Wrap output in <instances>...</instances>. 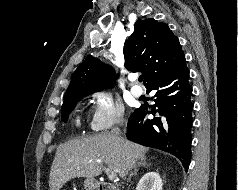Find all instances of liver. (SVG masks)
Instances as JSON below:
<instances>
[{
  "mask_svg": "<svg viewBox=\"0 0 238 190\" xmlns=\"http://www.w3.org/2000/svg\"><path fill=\"white\" fill-rule=\"evenodd\" d=\"M146 147L117 138L113 133H101L92 137L72 139L60 146L52 163L49 187L60 190L73 178H91L102 173L103 164L124 178L145 158Z\"/></svg>",
  "mask_w": 238,
  "mask_h": 190,
  "instance_id": "liver-1",
  "label": "liver"
}]
</instances>
